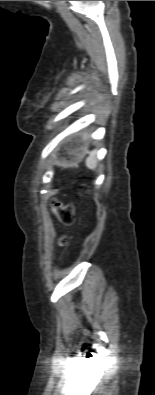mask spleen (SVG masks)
<instances>
[{
	"mask_svg": "<svg viewBox=\"0 0 155 395\" xmlns=\"http://www.w3.org/2000/svg\"><path fill=\"white\" fill-rule=\"evenodd\" d=\"M96 153H97V152H96L95 150L92 151V152L90 153L89 158L86 160L87 166H88L89 168H91V169H95L96 166H97Z\"/></svg>",
	"mask_w": 155,
	"mask_h": 395,
	"instance_id": "1",
	"label": "spleen"
}]
</instances>
